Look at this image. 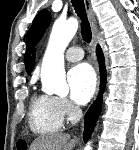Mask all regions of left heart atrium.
Instances as JSON below:
<instances>
[{"label": "left heart atrium", "mask_w": 139, "mask_h": 150, "mask_svg": "<svg viewBox=\"0 0 139 150\" xmlns=\"http://www.w3.org/2000/svg\"><path fill=\"white\" fill-rule=\"evenodd\" d=\"M67 81L71 99L77 104H86L96 89V74L86 63L74 66L68 73Z\"/></svg>", "instance_id": "obj_1"}]
</instances>
